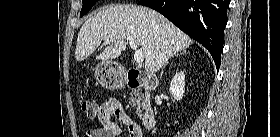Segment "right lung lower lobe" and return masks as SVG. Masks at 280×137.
I'll list each match as a JSON object with an SVG mask.
<instances>
[{
	"instance_id": "obj_1",
	"label": "right lung lower lobe",
	"mask_w": 280,
	"mask_h": 137,
	"mask_svg": "<svg viewBox=\"0 0 280 137\" xmlns=\"http://www.w3.org/2000/svg\"><path fill=\"white\" fill-rule=\"evenodd\" d=\"M138 4L158 11L201 43L219 69L229 0H140Z\"/></svg>"
}]
</instances>
